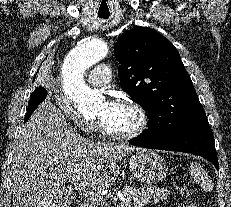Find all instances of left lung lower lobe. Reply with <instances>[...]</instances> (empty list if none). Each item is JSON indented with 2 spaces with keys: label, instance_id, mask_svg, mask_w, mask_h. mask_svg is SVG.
Here are the masks:
<instances>
[{
  "label": "left lung lower lobe",
  "instance_id": "0a47b994",
  "mask_svg": "<svg viewBox=\"0 0 231 207\" xmlns=\"http://www.w3.org/2000/svg\"><path fill=\"white\" fill-rule=\"evenodd\" d=\"M129 143L150 149L193 153L204 157L219 170L214 137L210 126H199L163 141L148 139L140 135L130 140Z\"/></svg>",
  "mask_w": 231,
  "mask_h": 207
}]
</instances>
